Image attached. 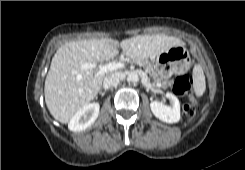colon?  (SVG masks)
Returning <instances> with one entry per match:
<instances>
[{
	"label": "colon",
	"mask_w": 245,
	"mask_h": 170,
	"mask_svg": "<svg viewBox=\"0 0 245 170\" xmlns=\"http://www.w3.org/2000/svg\"><path fill=\"white\" fill-rule=\"evenodd\" d=\"M173 91L181 97H186V102L183 105V119L190 121L195 115L197 104V100L192 92V79L190 75L187 73L180 74L173 84Z\"/></svg>",
	"instance_id": "colon-1"
}]
</instances>
